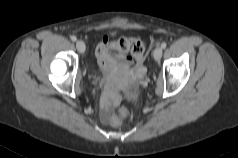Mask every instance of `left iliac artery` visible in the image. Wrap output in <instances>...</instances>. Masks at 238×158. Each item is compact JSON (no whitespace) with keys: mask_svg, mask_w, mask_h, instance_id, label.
Listing matches in <instances>:
<instances>
[{"mask_svg":"<svg viewBox=\"0 0 238 158\" xmlns=\"http://www.w3.org/2000/svg\"><path fill=\"white\" fill-rule=\"evenodd\" d=\"M166 46H167V44H166L165 42H163V43L161 44V48H162V49H165Z\"/></svg>","mask_w":238,"mask_h":158,"instance_id":"left-iliac-artery-1","label":"left iliac artery"}]
</instances>
